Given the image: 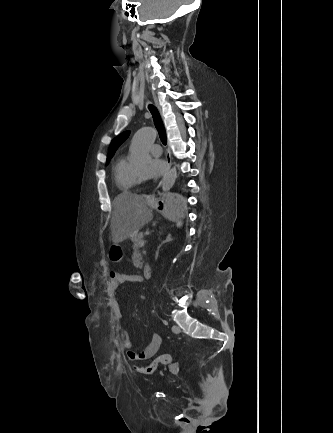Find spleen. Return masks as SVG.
Returning <instances> with one entry per match:
<instances>
[{
    "label": "spleen",
    "mask_w": 333,
    "mask_h": 433,
    "mask_svg": "<svg viewBox=\"0 0 333 433\" xmlns=\"http://www.w3.org/2000/svg\"><path fill=\"white\" fill-rule=\"evenodd\" d=\"M171 221H174V222H176V225H177V227H181L182 226V220H171Z\"/></svg>",
    "instance_id": "obj_1"
}]
</instances>
